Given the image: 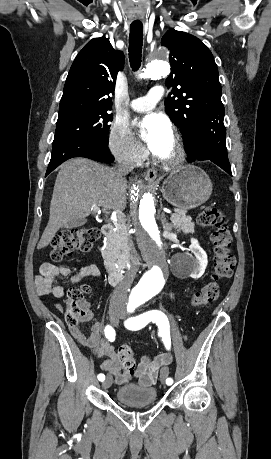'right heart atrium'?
Listing matches in <instances>:
<instances>
[{
  "label": "right heart atrium",
  "mask_w": 271,
  "mask_h": 459,
  "mask_svg": "<svg viewBox=\"0 0 271 459\" xmlns=\"http://www.w3.org/2000/svg\"><path fill=\"white\" fill-rule=\"evenodd\" d=\"M108 148L116 158H124L128 163L137 165L145 160L147 151L131 135L126 126L115 123L108 135Z\"/></svg>",
  "instance_id": "right-heart-atrium-1"
}]
</instances>
